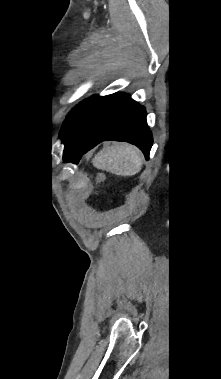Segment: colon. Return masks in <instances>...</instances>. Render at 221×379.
Wrapping results in <instances>:
<instances>
[{"label": "colon", "instance_id": "1", "mask_svg": "<svg viewBox=\"0 0 221 379\" xmlns=\"http://www.w3.org/2000/svg\"><path fill=\"white\" fill-rule=\"evenodd\" d=\"M96 182L100 183L103 180V175L102 174H97L95 177Z\"/></svg>", "mask_w": 221, "mask_h": 379}]
</instances>
